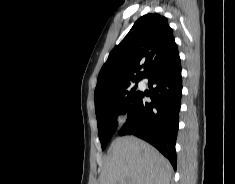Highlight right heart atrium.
I'll return each instance as SVG.
<instances>
[{
    "instance_id": "1",
    "label": "right heart atrium",
    "mask_w": 235,
    "mask_h": 184,
    "mask_svg": "<svg viewBox=\"0 0 235 184\" xmlns=\"http://www.w3.org/2000/svg\"><path fill=\"white\" fill-rule=\"evenodd\" d=\"M127 120V115L125 112L119 110L114 114V124L119 128L122 127Z\"/></svg>"
}]
</instances>
